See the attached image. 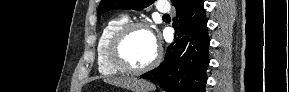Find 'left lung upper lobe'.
Listing matches in <instances>:
<instances>
[{"instance_id": "1", "label": "left lung upper lobe", "mask_w": 289, "mask_h": 92, "mask_svg": "<svg viewBox=\"0 0 289 92\" xmlns=\"http://www.w3.org/2000/svg\"><path fill=\"white\" fill-rule=\"evenodd\" d=\"M153 2L154 0H101L98 7V18L102 13L113 9L142 10Z\"/></svg>"}]
</instances>
